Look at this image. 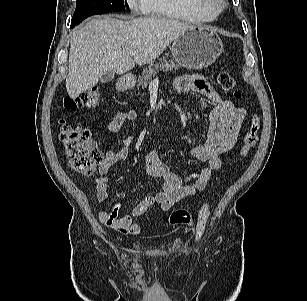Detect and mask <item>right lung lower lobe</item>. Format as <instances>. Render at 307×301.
Here are the masks:
<instances>
[{
	"mask_svg": "<svg viewBox=\"0 0 307 301\" xmlns=\"http://www.w3.org/2000/svg\"><path fill=\"white\" fill-rule=\"evenodd\" d=\"M75 26H76L75 24H71L70 28H73V27H75Z\"/></svg>",
	"mask_w": 307,
	"mask_h": 301,
	"instance_id": "98d812e1",
	"label": "right lung lower lobe"
}]
</instances>
